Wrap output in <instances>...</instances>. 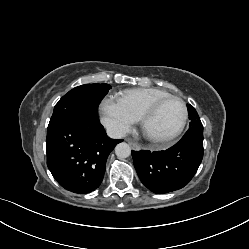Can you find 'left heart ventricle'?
<instances>
[{
    "label": "left heart ventricle",
    "mask_w": 249,
    "mask_h": 249,
    "mask_svg": "<svg viewBox=\"0 0 249 249\" xmlns=\"http://www.w3.org/2000/svg\"><path fill=\"white\" fill-rule=\"evenodd\" d=\"M183 113V106L178 100L165 102L146 124V134L157 138L171 134L179 126Z\"/></svg>",
    "instance_id": "b2bd125f"
}]
</instances>
